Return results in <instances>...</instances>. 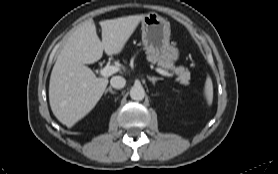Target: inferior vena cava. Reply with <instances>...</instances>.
Returning a JSON list of instances; mask_svg holds the SVG:
<instances>
[{
	"label": "inferior vena cava",
	"instance_id": "inferior-vena-cava-1",
	"mask_svg": "<svg viewBox=\"0 0 278 174\" xmlns=\"http://www.w3.org/2000/svg\"><path fill=\"white\" fill-rule=\"evenodd\" d=\"M110 84L115 89H121L125 86L126 80L121 76H114L111 78Z\"/></svg>",
	"mask_w": 278,
	"mask_h": 174
}]
</instances>
